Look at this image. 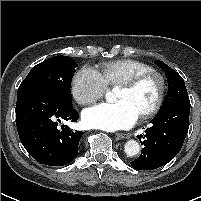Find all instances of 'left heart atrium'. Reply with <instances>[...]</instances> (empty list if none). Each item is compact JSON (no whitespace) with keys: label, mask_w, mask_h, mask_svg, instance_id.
I'll list each match as a JSON object with an SVG mask.
<instances>
[{"label":"left heart atrium","mask_w":201,"mask_h":201,"mask_svg":"<svg viewBox=\"0 0 201 201\" xmlns=\"http://www.w3.org/2000/svg\"><path fill=\"white\" fill-rule=\"evenodd\" d=\"M139 116L125 101L101 103L84 110L82 119L87 127L117 131L133 126Z\"/></svg>","instance_id":"39dd6f15"}]
</instances>
